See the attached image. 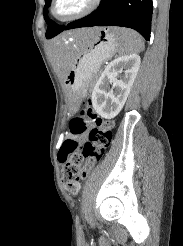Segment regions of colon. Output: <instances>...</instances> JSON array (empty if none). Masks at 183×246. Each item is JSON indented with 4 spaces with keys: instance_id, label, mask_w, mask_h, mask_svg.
<instances>
[{
    "instance_id": "1",
    "label": "colon",
    "mask_w": 183,
    "mask_h": 246,
    "mask_svg": "<svg viewBox=\"0 0 183 246\" xmlns=\"http://www.w3.org/2000/svg\"><path fill=\"white\" fill-rule=\"evenodd\" d=\"M70 129L74 134L88 132V140L84 144L69 138L59 150L63 186L68 193L77 194L80 182L89 176L111 141L112 123L99 118L90 107L85 106L71 121Z\"/></svg>"
}]
</instances>
